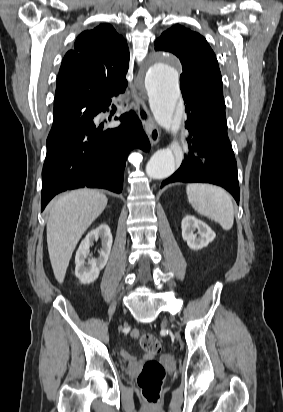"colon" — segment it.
I'll use <instances>...</instances> for the list:
<instances>
[{"instance_id":"obj_1","label":"colon","mask_w":283,"mask_h":412,"mask_svg":"<svg viewBox=\"0 0 283 412\" xmlns=\"http://www.w3.org/2000/svg\"><path fill=\"white\" fill-rule=\"evenodd\" d=\"M141 347L150 354H158L162 351V343L149 333H139L138 337ZM165 377L163 366L156 360H148L137 379L138 387L143 398L152 405L159 402L162 384Z\"/></svg>"}]
</instances>
